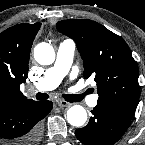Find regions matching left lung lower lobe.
Masks as SVG:
<instances>
[{
	"label": "left lung lower lobe",
	"instance_id": "1",
	"mask_svg": "<svg viewBox=\"0 0 145 145\" xmlns=\"http://www.w3.org/2000/svg\"><path fill=\"white\" fill-rule=\"evenodd\" d=\"M89 123L75 131L77 139L85 145H113L130 125L127 119L116 112L96 106Z\"/></svg>",
	"mask_w": 145,
	"mask_h": 145
}]
</instances>
